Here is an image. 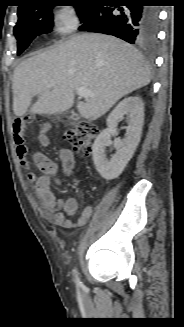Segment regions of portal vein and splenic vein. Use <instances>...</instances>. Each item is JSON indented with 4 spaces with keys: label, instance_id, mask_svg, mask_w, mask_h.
<instances>
[{
    "label": "portal vein and splenic vein",
    "instance_id": "1",
    "mask_svg": "<svg viewBox=\"0 0 184 327\" xmlns=\"http://www.w3.org/2000/svg\"><path fill=\"white\" fill-rule=\"evenodd\" d=\"M77 94L80 97H88V96H92L93 95V93L90 90H88V89H86L84 87L78 88L77 89Z\"/></svg>",
    "mask_w": 184,
    "mask_h": 327
}]
</instances>
